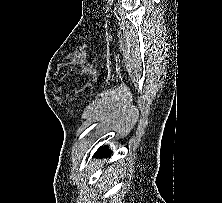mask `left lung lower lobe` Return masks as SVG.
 <instances>
[{"mask_svg":"<svg viewBox=\"0 0 222 203\" xmlns=\"http://www.w3.org/2000/svg\"><path fill=\"white\" fill-rule=\"evenodd\" d=\"M110 150H107L106 147H102L101 149H99V151L96 152L97 156H110Z\"/></svg>","mask_w":222,"mask_h":203,"instance_id":"0a47b994","label":"left lung lower lobe"}]
</instances>
